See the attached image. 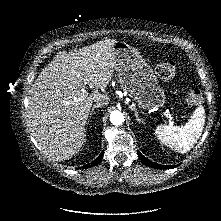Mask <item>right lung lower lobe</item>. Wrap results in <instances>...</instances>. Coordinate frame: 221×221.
<instances>
[{"label":"right lung lower lobe","instance_id":"right-lung-lower-lobe-1","mask_svg":"<svg viewBox=\"0 0 221 221\" xmlns=\"http://www.w3.org/2000/svg\"><path fill=\"white\" fill-rule=\"evenodd\" d=\"M102 157H103V153H101V154H100L93 162H91L90 164H87V165L83 166V168H90V167H93V166L97 165V164L101 161Z\"/></svg>","mask_w":221,"mask_h":221}]
</instances>
